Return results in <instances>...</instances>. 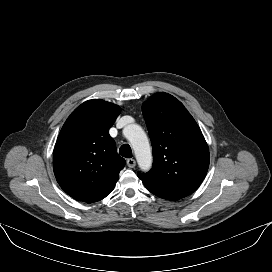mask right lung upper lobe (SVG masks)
Returning a JSON list of instances; mask_svg holds the SVG:
<instances>
[{
    "mask_svg": "<svg viewBox=\"0 0 272 272\" xmlns=\"http://www.w3.org/2000/svg\"><path fill=\"white\" fill-rule=\"evenodd\" d=\"M120 112L115 104L88 100L72 112L60 131L54 148V174L60 187L77 201L101 200L114 188L125 166L109 135Z\"/></svg>",
    "mask_w": 272,
    "mask_h": 272,
    "instance_id": "cb5924a9",
    "label": "right lung upper lobe"
}]
</instances>
